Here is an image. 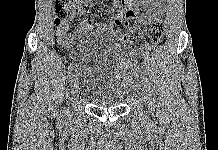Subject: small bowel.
<instances>
[{
    "mask_svg": "<svg viewBox=\"0 0 218 150\" xmlns=\"http://www.w3.org/2000/svg\"><path fill=\"white\" fill-rule=\"evenodd\" d=\"M92 0H75L70 17L63 20L56 31L57 41L65 48H71L75 39L89 30H98L101 32L112 33L118 38L122 34L115 31L110 24L100 22L94 23L90 17L83 19L80 24L71 31L72 22L85 12V8ZM166 0H113L115 6L123 5L124 9L120 11L123 16L125 30H135L136 23L143 25L151 24L158 15L164 10ZM93 16H97L94 14ZM75 55V51L72 52Z\"/></svg>",
    "mask_w": 218,
    "mask_h": 150,
    "instance_id": "c3829d8e",
    "label": "small bowel"
}]
</instances>
